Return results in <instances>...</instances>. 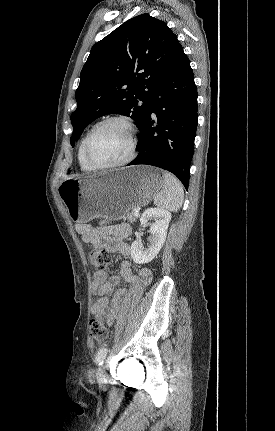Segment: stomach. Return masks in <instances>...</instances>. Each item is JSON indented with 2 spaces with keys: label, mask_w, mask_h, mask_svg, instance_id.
Returning <instances> with one entry per match:
<instances>
[{
  "label": "stomach",
  "mask_w": 275,
  "mask_h": 431,
  "mask_svg": "<svg viewBox=\"0 0 275 431\" xmlns=\"http://www.w3.org/2000/svg\"><path fill=\"white\" fill-rule=\"evenodd\" d=\"M163 187L160 169L134 166L83 178L65 179L58 193L72 221L121 219L129 210L148 204Z\"/></svg>",
  "instance_id": "0dacf381"
}]
</instances>
